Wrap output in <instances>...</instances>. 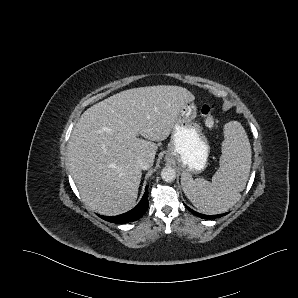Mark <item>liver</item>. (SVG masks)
<instances>
[{"mask_svg":"<svg viewBox=\"0 0 298 298\" xmlns=\"http://www.w3.org/2000/svg\"><path fill=\"white\" fill-rule=\"evenodd\" d=\"M194 100L185 87L156 85L121 91L84 111L68 147L82 200L102 215L130 210L142 177L137 160L145 158L153 165L155 141L169 137L179 110Z\"/></svg>","mask_w":298,"mask_h":298,"instance_id":"1","label":"liver"}]
</instances>
